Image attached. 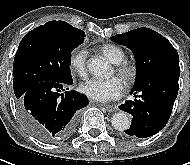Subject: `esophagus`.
<instances>
[{"label":"esophagus","mask_w":190,"mask_h":165,"mask_svg":"<svg viewBox=\"0 0 190 165\" xmlns=\"http://www.w3.org/2000/svg\"><path fill=\"white\" fill-rule=\"evenodd\" d=\"M99 106L104 107L108 112H117L118 111L117 107L114 106V105H102V104H99Z\"/></svg>","instance_id":"obj_1"}]
</instances>
